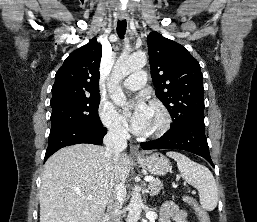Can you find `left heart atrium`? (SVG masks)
<instances>
[{
  "label": "left heart atrium",
  "mask_w": 257,
  "mask_h": 222,
  "mask_svg": "<svg viewBox=\"0 0 257 222\" xmlns=\"http://www.w3.org/2000/svg\"><path fill=\"white\" fill-rule=\"evenodd\" d=\"M151 114V107L146 101L141 97L137 98L127 119V125L130 131L135 134L146 133L149 128Z\"/></svg>",
  "instance_id": "obj_1"
}]
</instances>
